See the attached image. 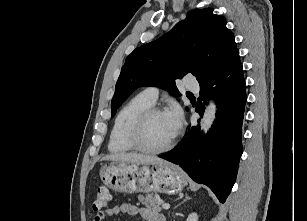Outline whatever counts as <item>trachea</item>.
<instances>
[{"instance_id":"trachea-1","label":"trachea","mask_w":307,"mask_h":221,"mask_svg":"<svg viewBox=\"0 0 307 221\" xmlns=\"http://www.w3.org/2000/svg\"><path fill=\"white\" fill-rule=\"evenodd\" d=\"M187 94H192L191 92H187Z\"/></svg>"}]
</instances>
